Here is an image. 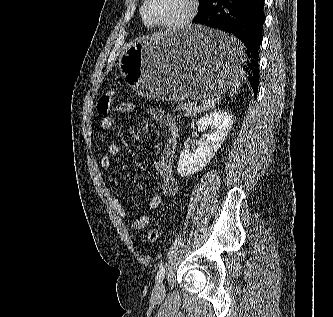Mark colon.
Returning <instances> with one entry per match:
<instances>
[{
    "mask_svg": "<svg viewBox=\"0 0 333 317\" xmlns=\"http://www.w3.org/2000/svg\"><path fill=\"white\" fill-rule=\"evenodd\" d=\"M114 94V91H110L100 96L97 103V111L99 114L106 115L109 113L113 102ZM147 238L150 242H156L158 240V232L153 228L148 229Z\"/></svg>",
    "mask_w": 333,
    "mask_h": 317,
    "instance_id": "5ec220e1",
    "label": "colon"
}]
</instances>
